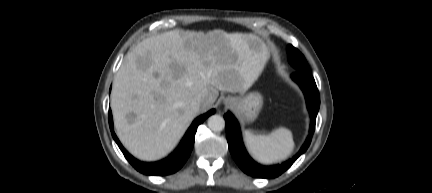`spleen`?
<instances>
[{"mask_svg": "<svg viewBox=\"0 0 432 193\" xmlns=\"http://www.w3.org/2000/svg\"><path fill=\"white\" fill-rule=\"evenodd\" d=\"M245 145L251 156L262 164H273L287 159L294 150L290 130L280 127L268 135L244 133Z\"/></svg>", "mask_w": 432, "mask_h": 193, "instance_id": "obj_1", "label": "spleen"}]
</instances>
